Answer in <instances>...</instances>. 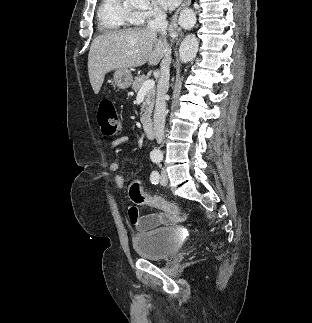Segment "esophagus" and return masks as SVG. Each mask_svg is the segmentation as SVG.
<instances>
[{"label":"esophagus","mask_w":312,"mask_h":323,"mask_svg":"<svg viewBox=\"0 0 312 323\" xmlns=\"http://www.w3.org/2000/svg\"><path fill=\"white\" fill-rule=\"evenodd\" d=\"M190 2L191 0H183L181 5L177 8L176 12L171 17L169 30L174 37H177L180 32V28L178 26V21H177L179 13L183 8H186L189 6Z\"/></svg>","instance_id":"34e87169"}]
</instances>
